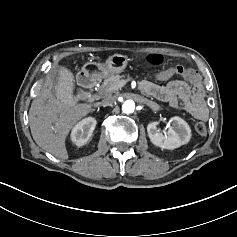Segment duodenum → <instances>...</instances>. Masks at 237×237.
Returning <instances> with one entry per match:
<instances>
[{"instance_id": "obj_1", "label": "duodenum", "mask_w": 237, "mask_h": 237, "mask_svg": "<svg viewBox=\"0 0 237 237\" xmlns=\"http://www.w3.org/2000/svg\"><path fill=\"white\" fill-rule=\"evenodd\" d=\"M101 78L100 70L95 65H88L79 74V84L87 89L93 88Z\"/></svg>"}]
</instances>
